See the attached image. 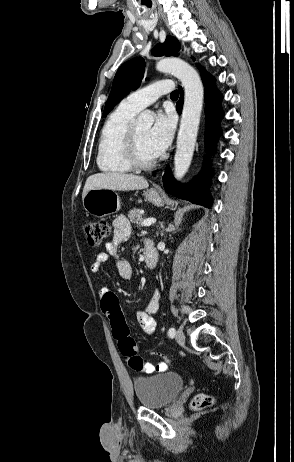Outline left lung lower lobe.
<instances>
[{"label": "left lung lower lobe", "instance_id": "0a47b994", "mask_svg": "<svg viewBox=\"0 0 294 462\" xmlns=\"http://www.w3.org/2000/svg\"><path fill=\"white\" fill-rule=\"evenodd\" d=\"M197 66L200 69L202 80L205 85V141L209 148H213L216 138L221 134L219 121L224 115L221 108L222 95L215 87L214 78L205 70H203L200 65ZM182 105L183 93L181 90V96L177 103V111L179 113H181ZM207 169L208 164L205 162L203 166L204 172H206ZM163 181L164 188L170 194L208 208L211 207L212 200L208 194L209 182L204 180L203 174H201L188 185H181L172 177L170 174V169L167 167L163 176Z\"/></svg>", "mask_w": 294, "mask_h": 462}]
</instances>
